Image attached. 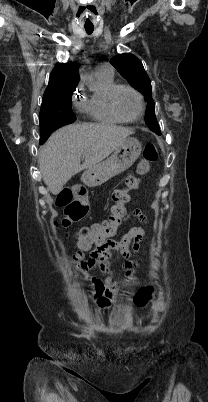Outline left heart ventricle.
I'll return each mask as SVG.
<instances>
[{
  "mask_svg": "<svg viewBox=\"0 0 208 402\" xmlns=\"http://www.w3.org/2000/svg\"><path fill=\"white\" fill-rule=\"evenodd\" d=\"M117 110L126 118H134L140 111L138 97L129 90H121L116 96Z\"/></svg>",
  "mask_w": 208,
  "mask_h": 402,
  "instance_id": "left-heart-ventricle-1",
  "label": "left heart ventricle"
}]
</instances>
